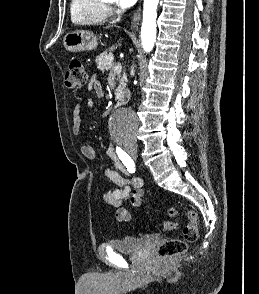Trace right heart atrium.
<instances>
[{
    "instance_id": "obj_1",
    "label": "right heart atrium",
    "mask_w": 259,
    "mask_h": 294,
    "mask_svg": "<svg viewBox=\"0 0 259 294\" xmlns=\"http://www.w3.org/2000/svg\"><path fill=\"white\" fill-rule=\"evenodd\" d=\"M107 10H108V13H112V8H107Z\"/></svg>"
}]
</instances>
